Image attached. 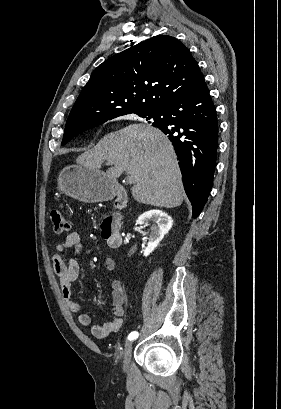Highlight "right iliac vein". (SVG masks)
I'll return each mask as SVG.
<instances>
[{
	"label": "right iliac vein",
	"instance_id": "1",
	"mask_svg": "<svg viewBox=\"0 0 281 409\" xmlns=\"http://www.w3.org/2000/svg\"><path fill=\"white\" fill-rule=\"evenodd\" d=\"M132 354V342H126L124 350V367L127 368Z\"/></svg>",
	"mask_w": 281,
	"mask_h": 409
}]
</instances>
